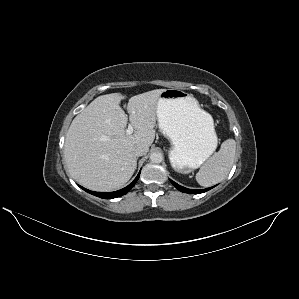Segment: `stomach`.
Here are the masks:
<instances>
[{"instance_id": "0dacf381", "label": "stomach", "mask_w": 299, "mask_h": 299, "mask_svg": "<svg viewBox=\"0 0 299 299\" xmlns=\"http://www.w3.org/2000/svg\"><path fill=\"white\" fill-rule=\"evenodd\" d=\"M157 119L161 133L172 144L169 158L175 171L189 173L215 151L213 119L192 95L179 89L164 90L157 102Z\"/></svg>"}]
</instances>
